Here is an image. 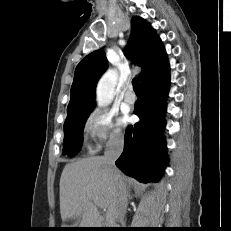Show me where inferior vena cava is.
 Returning <instances> with one entry per match:
<instances>
[{
  "label": "inferior vena cava",
  "instance_id": "obj_1",
  "mask_svg": "<svg viewBox=\"0 0 231 231\" xmlns=\"http://www.w3.org/2000/svg\"><path fill=\"white\" fill-rule=\"evenodd\" d=\"M124 139L121 133H113L106 144L104 152V162L110 174L115 175L116 167L115 161L123 151ZM116 218L119 223L125 225V214L127 207V194L124 186L120 182H116Z\"/></svg>",
  "mask_w": 231,
  "mask_h": 231
}]
</instances>
